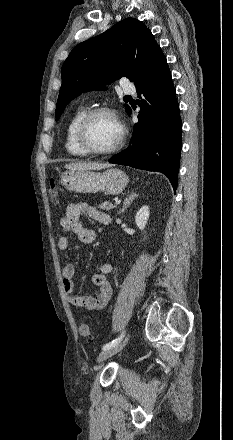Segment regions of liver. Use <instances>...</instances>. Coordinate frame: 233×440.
Wrapping results in <instances>:
<instances>
[{
    "label": "liver",
    "mask_w": 233,
    "mask_h": 440,
    "mask_svg": "<svg viewBox=\"0 0 233 440\" xmlns=\"http://www.w3.org/2000/svg\"><path fill=\"white\" fill-rule=\"evenodd\" d=\"M110 164L93 163V162H75L66 164L65 168L68 170H101L109 167Z\"/></svg>",
    "instance_id": "1"
}]
</instances>
